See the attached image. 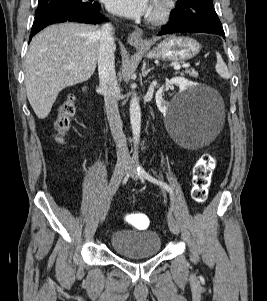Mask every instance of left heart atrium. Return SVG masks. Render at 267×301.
Returning a JSON list of instances; mask_svg holds the SVG:
<instances>
[{
    "label": "left heart atrium",
    "mask_w": 267,
    "mask_h": 301,
    "mask_svg": "<svg viewBox=\"0 0 267 301\" xmlns=\"http://www.w3.org/2000/svg\"><path fill=\"white\" fill-rule=\"evenodd\" d=\"M107 8L126 18H138L150 13V0H107Z\"/></svg>",
    "instance_id": "obj_1"
}]
</instances>
